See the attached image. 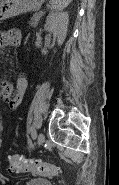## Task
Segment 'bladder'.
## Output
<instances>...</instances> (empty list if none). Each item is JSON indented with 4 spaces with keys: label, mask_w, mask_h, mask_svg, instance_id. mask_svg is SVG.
Instances as JSON below:
<instances>
[{
    "label": "bladder",
    "mask_w": 119,
    "mask_h": 185,
    "mask_svg": "<svg viewBox=\"0 0 119 185\" xmlns=\"http://www.w3.org/2000/svg\"><path fill=\"white\" fill-rule=\"evenodd\" d=\"M25 185H53L50 180L47 179H31Z\"/></svg>",
    "instance_id": "obj_1"
}]
</instances>
